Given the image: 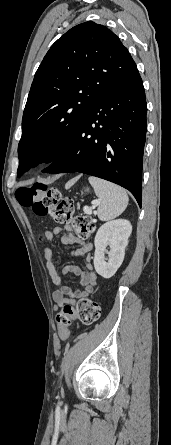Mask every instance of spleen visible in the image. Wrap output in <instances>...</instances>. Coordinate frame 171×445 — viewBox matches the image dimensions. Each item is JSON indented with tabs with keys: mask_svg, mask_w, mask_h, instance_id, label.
Here are the masks:
<instances>
[{
	"mask_svg": "<svg viewBox=\"0 0 171 445\" xmlns=\"http://www.w3.org/2000/svg\"><path fill=\"white\" fill-rule=\"evenodd\" d=\"M88 180L100 200L97 210L100 220H111L124 212L129 199L123 188L96 177H89Z\"/></svg>",
	"mask_w": 171,
	"mask_h": 445,
	"instance_id": "3e777b00",
	"label": "spleen"
}]
</instances>
